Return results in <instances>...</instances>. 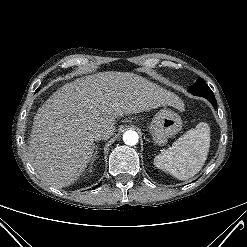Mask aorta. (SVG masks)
<instances>
[{"instance_id": "762f6f07", "label": "aorta", "mask_w": 247, "mask_h": 247, "mask_svg": "<svg viewBox=\"0 0 247 247\" xmlns=\"http://www.w3.org/2000/svg\"><path fill=\"white\" fill-rule=\"evenodd\" d=\"M139 136L136 131L128 130L123 134V141L126 145L133 146L138 143Z\"/></svg>"}]
</instances>
